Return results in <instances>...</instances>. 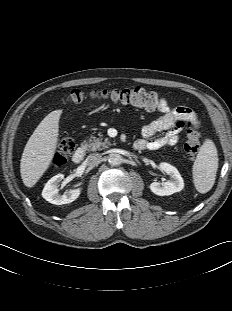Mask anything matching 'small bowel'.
<instances>
[{"mask_svg":"<svg viewBox=\"0 0 232 311\" xmlns=\"http://www.w3.org/2000/svg\"><path fill=\"white\" fill-rule=\"evenodd\" d=\"M160 115L142 128L143 138L138 140L141 150H158L165 146H173L177 143L185 124L193 118V110L186 106L171 107L165 100L159 110ZM159 132L164 135L151 139Z\"/></svg>","mask_w":232,"mask_h":311,"instance_id":"1","label":"small bowel"}]
</instances>
